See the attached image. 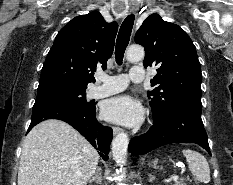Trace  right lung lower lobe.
Segmentation results:
<instances>
[{"instance_id":"1","label":"right lung lower lobe","mask_w":233,"mask_h":185,"mask_svg":"<svg viewBox=\"0 0 233 185\" xmlns=\"http://www.w3.org/2000/svg\"><path fill=\"white\" fill-rule=\"evenodd\" d=\"M47 119H59L69 123L98 149L104 160L108 159L112 129L97 121L95 104L92 107H84L58 101L35 102L28 132Z\"/></svg>"}]
</instances>
